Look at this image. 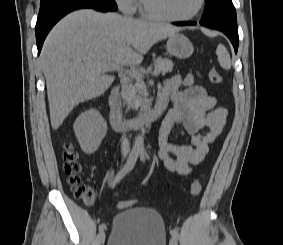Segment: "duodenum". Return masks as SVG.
<instances>
[{
    "mask_svg": "<svg viewBox=\"0 0 283 245\" xmlns=\"http://www.w3.org/2000/svg\"><path fill=\"white\" fill-rule=\"evenodd\" d=\"M168 99L159 93L155 105L143 114L127 118L122 112L120 102V87L116 86L109 97L110 119L114 129L119 131L140 128L152 124L166 109Z\"/></svg>",
    "mask_w": 283,
    "mask_h": 245,
    "instance_id": "obj_1",
    "label": "duodenum"
}]
</instances>
